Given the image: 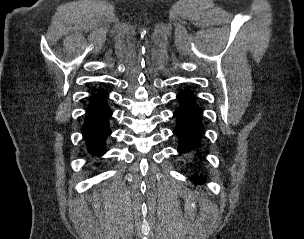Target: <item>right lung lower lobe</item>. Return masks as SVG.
Returning <instances> with one entry per match:
<instances>
[{"label": "right lung lower lobe", "instance_id": "right-lung-lower-lobe-1", "mask_svg": "<svg viewBox=\"0 0 304 239\" xmlns=\"http://www.w3.org/2000/svg\"><path fill=\"white\" fill-rule=\"evenodd\" d=\"M107 96L98 93L89 104L82 134L89 150L95 155L105 153V140L111 134L109 128V118L111 110L106 103Z\"/></svg>", "mask_w": 304, "mask_h": 239}]
</instances>
